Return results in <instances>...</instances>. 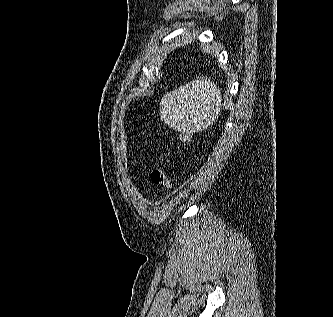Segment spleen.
<instances>
[{
	"label": "spleen",
	"instance_id": "1",
	"mask_svg": "<svg viewBox=\"0 0 333 317\" xmlns=\"http://www.w3.org/2000/svg\"><path fill=\"white\" fill-rule=\"evenodd\" d=\"M220 89L207 78H198L166 93L160 116L168 126L183 132L205 130L221 112Z\"/></svg>",
	"mask_w": 333,
	"mask_h": 317
}]
</instances>
